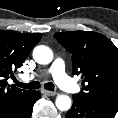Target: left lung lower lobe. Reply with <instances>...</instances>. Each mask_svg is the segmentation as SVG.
<instances>
[{
	"label": "left lung lower lobe",
	"mask_w": 118,
	"mask_h": 118,
	"mask_svg": "<svg viewBox=\"0 0 118 118\" xmlns=\"http://www.w3.org/2000/svg\"><path fill=\"white\" fill-rule=\"evenodd\" d=\"M117 108L83 101L73 96V105L66 118H113Z\"/></svg>",
	"instance_id": "0a47b994"
}]
</instances>
